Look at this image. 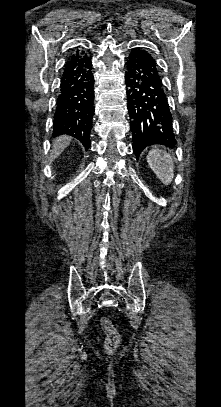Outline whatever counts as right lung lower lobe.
Listing matches in <instances>:
<instances>
[{"mask_svg":"<svg viewBox=\"0 0 221 407\" xmlns=\"http://www.w3.org/2000/svg\"><path fill=\"white\" fill-rule=\"evenodd\" d=\"M92 64L84 51L77 50L65 64L54 114L53 136L67 134L88 149L94 115Z\"/></svg>","mask_w":221,"mask_h":407,"instance_id":"right-lung-lower-lobe-1","label":"right lung lower lobe"}]
</instances>
